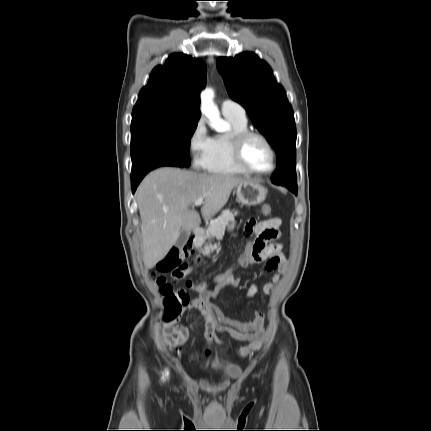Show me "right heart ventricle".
<instances>
[{"label": "right heart ventricle", "instance_id": "1", "mask_svg": "<svg viewBox=\"0 0 431 431\" xmlns=\"http://www.w3.org/2000/svg\"><path fill=\"white\" fill-rule=\"evenodd\" d=\"M226 118L231 125V130L227 134L213 138L212 156L207 171L220 175L244 174L245 172L232 159L231 137L236 133L248 130L247 120H240L234 117Z\"/></svg>", "mask_w": 431, "mask_h": 431}]
</instances>
